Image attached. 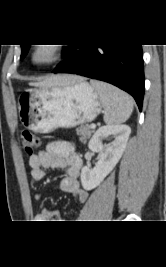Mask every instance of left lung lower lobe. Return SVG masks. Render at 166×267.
I'll return each mask as SVG.
<instances>
[{
    "instance_id": "0a47b994",
    "label": "left lung lower lobe",
    "mask_w": 166,
    "mask_h": 267,
    "mask_svg": "<svg viewBox=\"0 0 166 267\" xmlns=\"http://www.w3.org/2000/svg\"><path fill=\"white\" fill-rule=\"evenodd\" d=\"M53 73H73L111 83L131 94L140 111L144 97L141 45L71 44Z\"/></svg>"
}]
</instances>
